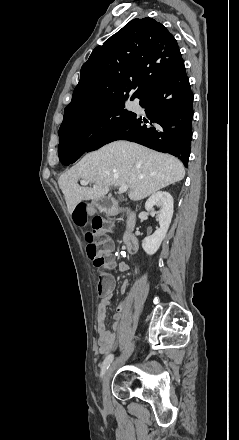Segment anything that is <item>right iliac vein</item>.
Listing matches in <instances>:
<instances>
[{
    "label": "right iliac vein",
    "instance_id": "63e3f726",
    "mask_svg": "<svg viewBox=\"0 0 239 440\" xmlns=\"http://www.w3.org/2000/svg\"><path fill=\"white\" fill-rule=\"evenodd\" d=\"M132 347L129 351H127L124 355H122L120 358H118L115 362H113V364L109 367L108 371L106 372V375L104 377L103 380V385H102V394H103V398L105 401L108 400L109 397V384H110V379L111 376L114 372V370L116 369L117 365L123 361H125L126 359H128V357L131 355L132 351H133Z\"/></svg>",
    "mask_w": 239,
    "mask_h": 440
}]
</instances>
